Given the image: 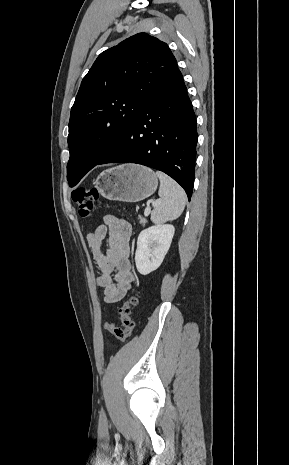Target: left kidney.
I'll use <instances>...</instances> for the list:
<instances>
[{
    "label": "left kidney",
    "instance_id": "1",
    "mask_svg": "<svg viewBox=\"0 0 289 465\" xmlns=\"http://www.w3.org/2000/svg\"><path fill=\"white\" fill-rule=\"evenodd\" d=\"M174 232L171 224H158L140 232L135 253L136 268L140 274L148 275L161 265Z\"/></svg>",
    "mask_w": 289,
    "mask_h": 465
}]
</instances>
